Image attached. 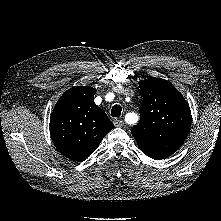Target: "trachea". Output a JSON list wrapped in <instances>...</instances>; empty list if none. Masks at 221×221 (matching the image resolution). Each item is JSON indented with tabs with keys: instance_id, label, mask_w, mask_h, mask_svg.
Returning <instances> with one entry per match:
<instances>
[{
	"instance_id": "1",
	"label": "trachea",
	"mask_w": 221,
	"mask_h": 221,
	"mask_svg": "<svg viewBox=\"0 0 221 221\" xmlns=\"http://www.w3.org/2000/svg\"><path fill=\"white\" fill-rule=\"evenodd\" d=\"M122 108L120 105H114L111 109V116L112 117H119L121 115Z\"/></svg>"
}]
</instances>
